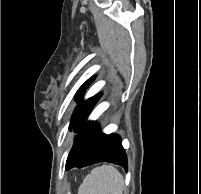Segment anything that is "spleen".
Returning <instances> with one entry per match:
<instances>
[{"label":"spleen","instance_id":"3e777b00","mask_svg":"<svg viewBox=\"0 0 201 194\" xmlns=\"http://www.w3.org/2000/svg\"><path fill=\"white\" fill-rule=\"evenodd\" d=\"M124 179L112 165L94 168L79 186L78 194H122Z\"/></svg>","mask_w":201,"mask_h":194}]
</instances>
